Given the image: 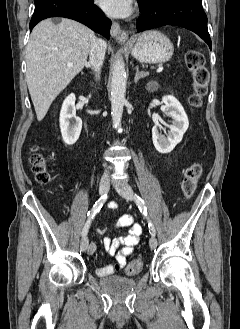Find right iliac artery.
<instances>
[{
    "label": "right iliac artery",
    "instance_id": "1",
    "mask_svg": "<svg viewBox=\"0 0 240 329\" xmlns=\"http://www.w3.org/2000/svg\"><path fill=\"white\" fill-rule=\"evenodd\" d=\"M107 197H108L107 194H104L103 196H101L100 199L93 205V208L91 209V211H89V213L87 215L88 219L82 230V236H86V234L88 233L92 219L100 211L101 207L106 202Z\"/></svg>",
    "mask_w": 240,
    "mask_h": 329
}]
</instances>
